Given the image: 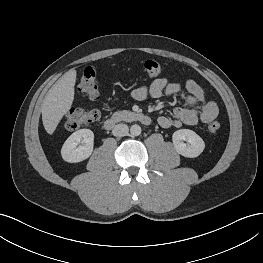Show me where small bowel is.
<instances>
[{"instance_id": "c3829d8e", "label": "small bowel", "mask_w": 263, "mask_h": 263, "mask_svg": "<svg viewBox=\"0 0 263 263\" xmlns=\"http://www.w3.org/2000/svg\"><path fill=\"white\" fill-rule=\"evenodd\" d=\"M181 89L182 87L178 82L161 77L153 80L149 86L135 88L132 91V97L137 101H143L148 96L157 99L177 94ZM184 90L183 100L188 107L175 108L171 117L159 116L158 124L162 128H180L183 125L195 126L199 122L209 123L217 117V104L206 99L203 89L194 80H186Z\"/></svg>"}]
</instances>
